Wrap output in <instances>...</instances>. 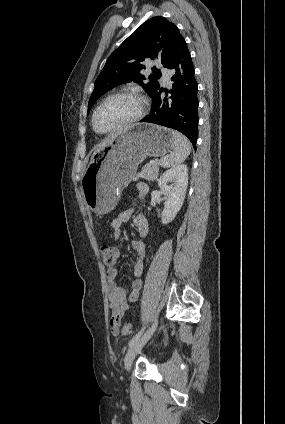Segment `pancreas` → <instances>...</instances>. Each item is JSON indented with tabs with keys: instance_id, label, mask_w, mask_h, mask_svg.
I'll use <instances>...</instances> for the list:
<instances>
[{
	"instance_id": "1",
	"label": "pancreas",
	"mask_w": 285,
	"mask_h": 424,
	"mask_svg": "<svg viewBox=\"0 0 285 424\" xmlns=\"http://www.w3.org/2000/svg\"><path fill=\"white\" fill-rule=\"evenodd\" d=\"M158 173H159L158 162H155L154 164L149 163L144 165V167L142 168V171L136 175L135 180L142 178L148 181H153L157 179Z\"/></svg>"
}]
</instances>
